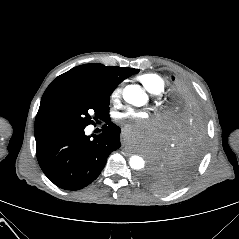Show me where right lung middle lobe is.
Returning a JSON list of instances; mask_svg holds the SVG:
<instances>
[{
	"label": "right lung middle lobe",
	"mask_w": 239,
	"mask_h": 239,
	"mask_svg": "<svg viewBox=\"0 0 239 239\" xmlns=\"http://www.w3.org/2000/svg\"><path fill=\"white\" fill-rule=\"evenodd\" d=\"M112 92L88 91L56 96L40 105L35 130L66 127H86L91 116L101 118L109 112Z\"/></svg>",
	"instance_id": "obj_1"
}]
</instances>
